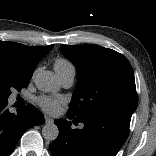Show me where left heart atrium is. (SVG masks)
Listing matches in <instances>:
<instances>
[{
	"mask_svg": "<svg viewBox=\"0 0 156 156\" xmlns=\"http://www.w3.org/2000/svg\"><path fill=\"white\" fill-rule=\"evenodd\" d=\"M38 105L46 112L54 114L58 112L62 101L50 96H40L37 98Z\"/></svg>",
	"mask_w": 156,
	"mask_h": 156,
	"instance_id": "1",
	"label": "left heart atrium"
}]
</instances>
